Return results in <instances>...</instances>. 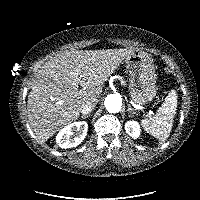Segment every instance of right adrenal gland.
I'll return each mask as SVG.
<instances>
[{"mask_svg":"<svg viewBox=\"0 0 200 200\" xmlns=\"http://www.w3.org/2000/svg\"><path fill=\"white\" fill-rule=\"evenodd\" d=\"M90 115H91V113H89V114H87V115H82L81 118H82V119H86V118L90 117Z\"/></svg>","mask_w":200,"mask_h":200,"instance_id":"2a0ac1e0","label":"right adrenal gland"}]
</instances>
